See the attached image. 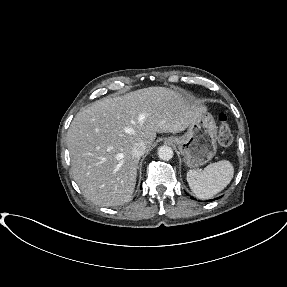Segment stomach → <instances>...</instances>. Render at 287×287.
<instances>
[{"label":"stomach","mask_w":287,"mask_h":287,"mask_svg":"<svg viewBox=\"0 0 287 287\" xmlns=\"http://www.w3.org/2000/svg\"><path fill=\"white\" fill-rule=\"evenodd\" d=\"M217 126L211 114L201 113L179 137H170L184 157L186 165L196 168L209 162L217 151Z\"/></svg>","instance_id":"stomach-1"}]
</instances>
